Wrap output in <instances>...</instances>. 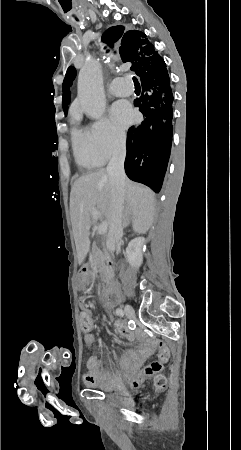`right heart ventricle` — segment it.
Instances as JSON below:
<instances>
[{
  "label": "right heart ventricle",
  "instance_id": "obj_1",
  "mask_svg": "<svg viewBox=\"0 0 241 450\" xmlns=\"http://www.w3.org/2000/svg\"><path fill=\"white\" fill-rule=\"evenodd\" d=\"M92 126L75 125L71 130L74 157L78 165L84 168H94L104 164V161L99 159L88 147V131L92 129Z\"/></svg>",
  "mask_w": 241,
  "mask_h": 450
}]
</instances>
